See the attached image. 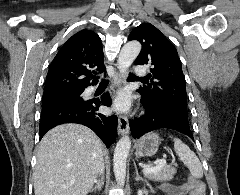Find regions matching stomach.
I'll return each instance as SVG.
<instances>
[{
  "instance_id": "1",
  "label": "stomach",
  "mask_w": 240,
  "mask_h": 195,
  "mask_svg": "<svg viewBox=\"0 0 240 195\" xmlns=\"http://www.w3.org/2000/svg\"><path fill=\"white\" fill-rule=\"evenodd\" d=\"M160 137H158L157 133H146L143 137H140L138 141H136L134 147L137 155H154L156 151H158Z\"/></svg>"
}]
</instances>
